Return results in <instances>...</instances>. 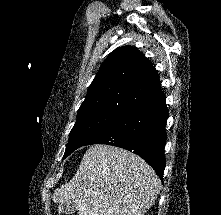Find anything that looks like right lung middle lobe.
Returning <instances> with one entry per match:
<instances>
[{
    "label": "right lung middle lobe",
    "mask_w": 221,
    "mask_h": 215,
    "mask_svg": "<svg viewBox=\"0 0 221 215\" xmlns=\"http://www.w3.org/2000/svg\"><path fill=\"white\" fill-rule=\"evenodd\" d=\"M119 118L118 115L104 112L78 113L76 123L70 132L64 159L79 147L85 146Z\"/></svg>",
    "instance_id": "dd1d6c3e"
}]
</instances>
